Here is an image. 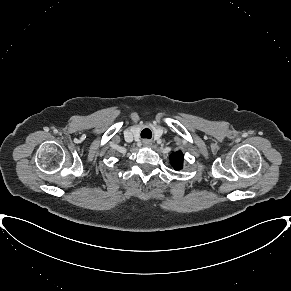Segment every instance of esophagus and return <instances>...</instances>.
<instances>
[{
    "mask_svg": "<svg viewBox=\"0 0 291 291\" xmlns=\"http://www.w3.org/2000/svg\"><path fill=\"white\" fill-rule=\"evenodd\" d=\"M143 145L145 147H150L152 145V142L148 139L143 140Z\"/></svg>",
    "mask_w": 291,
    "mask_h": 291,
    "instance_id": "1",
    "label": "esophagus"
}]
</instances>
